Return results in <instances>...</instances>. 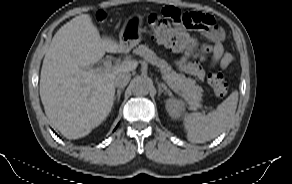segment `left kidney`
Listing matches in <instances>:
<instances>
[{"instance_id":"5707ae66","label":"left kidney","mask_w":292,"mask_h":184,"mask_svg":"<svg viewBox=\"0 0 292 184\" xmlns=\"http://www.w3.org/2000/svg\"><path fill=\"white\" fill-rule=\"evenodd\" d=\"M166 110L172 118H178L185 110V103L182 100L170 98L166 101Z\"/></svg>"}]
</instances>
